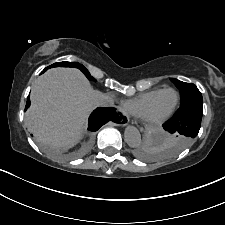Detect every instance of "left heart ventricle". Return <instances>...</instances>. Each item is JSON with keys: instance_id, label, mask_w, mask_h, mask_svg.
<instances>
[{"instance_id": "left-heart-ventricle-1", "label": "left heart ventricle", "mask_w": 225, "mask_h": 225, "mask_svg": "<svg viewBox=\"0 0 225 225\" xmlns=\"http://www.w3.org/2000/svg\"><path fill=\"white\" fill-rule=\"evenodd\" d=\"M176 94L172 91H167L159 96L154 103L150 115L154 118L166 114L175 104Z\"/></svg>"}]
</instances>
